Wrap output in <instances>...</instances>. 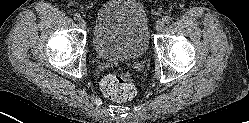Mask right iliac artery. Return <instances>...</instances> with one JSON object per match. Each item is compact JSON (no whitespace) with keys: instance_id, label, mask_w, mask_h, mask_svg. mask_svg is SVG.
<instances>
[{"instance_id":"1","label":"right iliac artery","mask_w":249,"mask_h":123,"mask_svg":"<svg viewBox=\"0 0 249 123\" xmlns=\"http://www.w3.org/2000/svg\"><path fill=\"white\" fill-rule=\"evenodd\" d=\"M73 18H74V20H79L80 19V15L79 14H75L74 16H73Z\"/></svg>"}]
</instances>
